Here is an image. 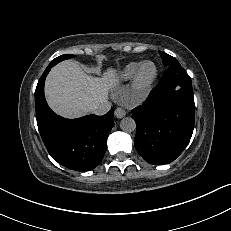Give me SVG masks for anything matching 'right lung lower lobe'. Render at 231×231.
I'll return each mask as SVG.
<instances>
[{
	"mask_svg": "<svg viewBox=\"0 0 231 231\" xmlns=\"http://www.w3.org/2000/svg\"><path fill=\"white\" fill-rule=\"evenodd\" d=\"M51 62L35 91L36 119L49 154L61 165L76 171L96 168L106 151L107 137L114 126L113 110L103 116L89 115L69 120L56 115L44 97V82Z\"/></svg>",
	"mask_w": 231,
	"mask_h": 231,
	"instance_id": "98d812e1",
	"label": "right lung lower lobe"
}]
</instances>
